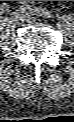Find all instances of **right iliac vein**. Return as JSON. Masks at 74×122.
Instances as JSON below:
<instances>
[{
    "instance_id": "right-iliac-vein-1",
    "label": "right iliac vein",
    "mask_w": 74,
    "mask_h": 122,
    "mask_svg": "<svg viewBox=\"0 0 74 122\" xmlns=\"http://www.w3.org/2000/svg\"><path fill=\"white\" fill-rule=\"evenodd\" d=\"M12 21L15 25L19 26L23 23V18L18 13H15L12 15Z\"/></svg>"
}]
</instances>
